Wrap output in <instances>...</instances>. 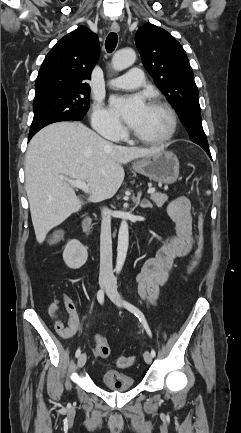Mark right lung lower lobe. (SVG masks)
Wrapping results in <instances>:
<instances>
[{
	"label": "right lung lower lobe",
	"mask_w": 241,
	"mask_h": 433,
	"mask_svg": "<svg viewBox=\"0 0 241 433\" xmlns=\"http://www.w3.org/2000/svg\"><path fill=\"white\" fill-rule=\"evenodd\" d=\"M35 133L29 134L28 141L34 136Z\"/></svg>",
	"instance_id": "right-lung-lower-lobe-1"
}]
</instances>
